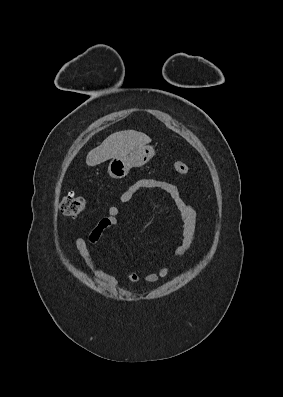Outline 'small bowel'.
Listing matches in <instances>:
<instances>
[{"instance_id": "1", "label": "small bowel", "mask_w": 283, "mask_h": 397, "mask_svg": "<svg viewBox=\"0 0 283 397\" xmlns=\"http://www.w3.org/2000/svg\"><path fill=\"white\" fill-rule=\"evenodd\" d=\"M142 189H158L165 191L170 195V197L175 202V205L179 211L181 223H182V242L175 250V257H183L191 248L194 237H195V227H196V217L197 208L187 202H185L179 193L178 188L167 181L157 180V179H140L131 186L121 195L120 203L125 204L131 201ZM120 214V208L118 206H111L108 209V214L102 217L95 227L91 230L88 238L90 244H97L103 233L114 227L117 224V217ZM88 242L83 237H77L75 239V247L83 258L85 263L90 269V272L100 281H103L110 285L111 287H117V279L108 274L103 270V268L95 262L89 247ZM169 275V268L161 267L156 272L149 273L144 276L143 280L147 283H157L160 279H163ZM126 279L130 283H138L141 280L139 274L135 272H129L126 274Z\"/></svg>"}]
</instances>
